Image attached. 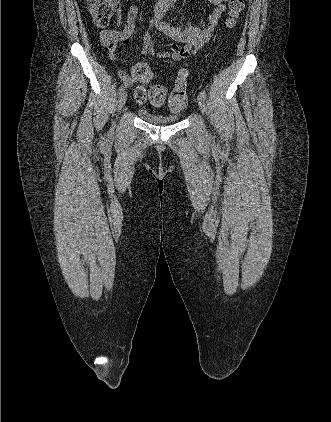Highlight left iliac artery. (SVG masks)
<instances>
[{
	"label": "left iliac artery",
	"instance_id": "left-iliac-artery-1",
	"mask_svg": "<svg viewBox=\"0 0 331 422\" xmlns=\"http://www.w3.org/2000/svg\"><path fill=\"white\" fill-rule=\"evenodd\" d=\"M200 94H201L204 98H206V97H207V93H206V91H205L204 89L200 92Z\"/></svg>",
	"mask_w": 331,
	"mask_h": 422
}]
</instances>
